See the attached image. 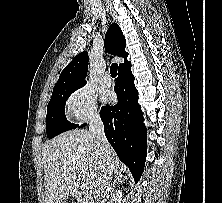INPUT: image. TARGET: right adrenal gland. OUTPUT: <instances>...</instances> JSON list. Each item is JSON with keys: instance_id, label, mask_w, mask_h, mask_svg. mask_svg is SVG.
<instances>
[{"instance_id": "right-adrenal-gland-1", "label": "right adrenal gland", "mask_w": 222, "mask_h": 203, "mask_svg": "<svg viewBox=\"0 0 222 203\" xmlns=\"http://www.w3.org/2000/svg\"><path fill=\"white\" fill-rule=\"evenodd\" d=\"M123 178H125V177H123V175L121 173L117 174V176H116V178H115V180L113 181V184H112L113 189H115V185H116L117 182H120V183L123 182Z\"/></svg>"}]
</instances>
